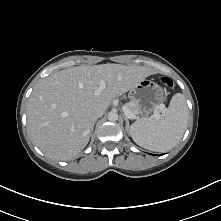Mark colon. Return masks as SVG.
I'll return each mask as SVG.
<instances>
[{
    "label": "colon",
    "mask_w": 221,
    "mask_h": 221,
    "mask_svg": "<svg viewBox=\"0 0 221 221\" xmlns=\"http://www.w3.org/2000/svg\"><path fill=\"white\" fill-rule=\"evenodd\" d=\"M162 81L167 87H172V81L170 79L163 78Z\"/></svg>",
    "instance_id": "5ec220e1"
}]
</instances>
